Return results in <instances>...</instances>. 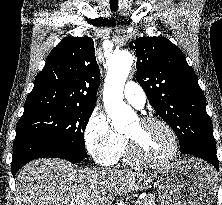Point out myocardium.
<instances>
[{
	"instance_id": "f54148a6",
	"label": "myocardium",
	"mask_w": 222,
	"mask_h": 205,
	"mask_svg": "<svg viewBox=\"0 0 222 205\" xmlns=\"http://www.w3.org/2000/svg\"><path fill=\"white\" fill-rule=\"evenodd\" d=\"M138 120L142 124H158L162 126L171 137L172 150L166 157L160 160L147 159L140 154L135 141L131 137L126 135L127 148L130 159L137 164L153 168H161L171 164L176 159L179 153V140L172 126L165 120L153 116H144L139 118Z\"/></svg>"
}]
</instances>
